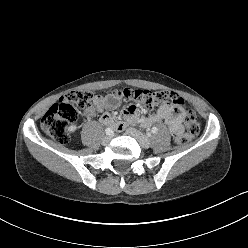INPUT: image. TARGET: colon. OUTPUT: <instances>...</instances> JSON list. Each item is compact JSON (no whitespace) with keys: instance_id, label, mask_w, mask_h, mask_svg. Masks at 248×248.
I'll use <instances>...</instances> for the list:
<instances>
[{"instance_id":"1","label":"colon","mask_w":248,"mask_h":248,"mask_svg":"<svg viewBox=\"0 0 248 248\" xmlns=\"http://www.w3.org/2000/svg\"><path fill=\"white\" fill-rule=\"evenodd\" d=\"M129 101L132 105L140 106L147 110L155 107L168 105L184 108V99L171 91H147L131 90ZM94 95L88 90H72L62 96L58 102L53 104L40 121L41 130L58 143L65 144L69 140L67 128L72 124L78 114L79 109L88 108ZM185 132L175 135L176 144H184L200 132V123L193 111H187L184 117Z\"/></svg>"}]
</instances>
